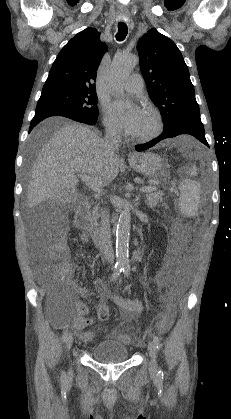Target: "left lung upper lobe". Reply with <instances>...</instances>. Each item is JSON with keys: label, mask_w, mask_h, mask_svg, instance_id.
I'll return each instance as SVG.
<instances>
[{"label": "left lung upper lobe", "mask_w": 231, "mask_h": 419, "mask_svg": "<svg viewBox=\"0 0 231 419\" xmlns=\"http://www.w3.org/2000/svg\"><path fill=\"white\" fill-rule=\"evenodd\" d=\"M137 49L149 96L163 115L164 131L186 119H200L188 67L176 44L151 29Z\"/></svg>", "instance_id": "1"}]
</instances>
